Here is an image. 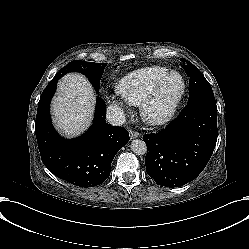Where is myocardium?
Here are the masks:
<instances>
[{"instance_id":"1","label":"myocardium","mask_w":249,"mask_h":249,"mask_svg":"<svg viewBox=\"0 0 249 249\" xmlns=\"http://www.w3.org/2000/svg\"><path fill=\"white\" fill-rule=\"evenodd\" d=\"M177 76L179 80V91L176 96L170 101L168 107L158 115H152L149 113L150 105L159 97L160 91L165 86L166 82L171 76ZM185 92V82L182 75L177 71L168 72L162 80L159 82L157 87L154 89L152 94L139 105V114L141 119L148 125H161L168 122L175 114L181 99Z\"/></svg>"}]
</instances>
